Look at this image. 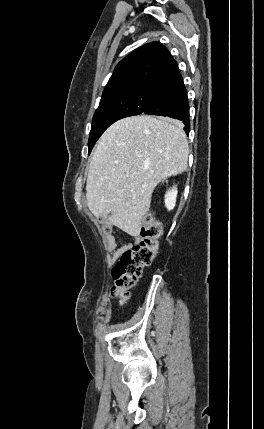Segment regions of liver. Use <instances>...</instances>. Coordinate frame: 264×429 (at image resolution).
Masks as SVG:
<instances>
[{"mask_svg":"<svg viewBox=\"0 0 264 429\" xmlns=\"http://www.w3.org/2000/svg\"><path fill=\"white\" fill-rule=\"evenodd\" d=\"M188 154L187 137L178 121L140 115L115 122L100 137L90 161L89 210L138 236L155 187L182 174Z\"/></svg>","mask_w":264,"mask_h":429,"instance_id":"liver-1","label":"liver"}]
</instances>
